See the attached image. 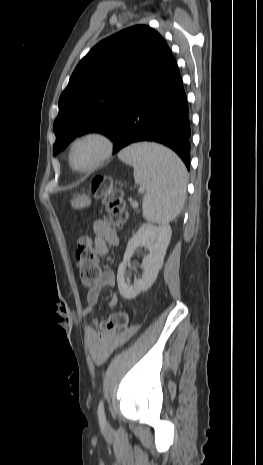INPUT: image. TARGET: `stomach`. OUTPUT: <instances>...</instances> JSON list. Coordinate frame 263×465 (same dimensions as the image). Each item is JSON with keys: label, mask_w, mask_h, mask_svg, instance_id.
<instances>
[{"label": "stomach", "mask_w": 263, "mask_h": 465, "mask_svg": "<svg viewBox=\"0 0 263 465\" xmlns=\"http://www.w3.org/2000/svg\"><path fill=\"white\" fill-rule=\"evenodd\" d=\"M90 204H91V199L89 195H86V194L79 195L71 201V205L75 209H82V208L90 206Z\"/></svg>", "instance_id": "1"}]
</instances>
